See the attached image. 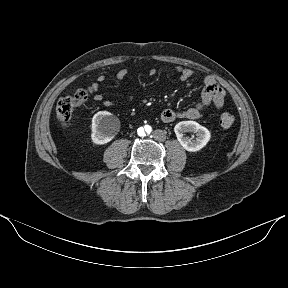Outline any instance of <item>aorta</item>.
I'll list each match as a JSON object with an SVG mask.
<instances>
[{
    "instance_id": "762f6f07",
    "label": "aorta",
    "mask_w": 288,
    "mask_h": 288,
    "mask_svg": "<svg viewBox=\"0 0 288 288\" xmlns=\"http://www.w3.org/2000/svg\"><path fill=\"white\" fill-rule=\"evenodd\" d=\"M152 131L153 127L150 124H143L136 128V135L139 138H146L151 136Z\"/></svg>"
}]
</instances>
